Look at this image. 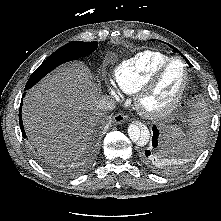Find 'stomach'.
I'll return each mask as SVG.
<instances>
[{"instance_id":"obj_1","label":"stomach","mask_w":221,"mask_h":221,"mask_svg":"<svg viewBox=\"0 0 221 221\" xmlns=\"http://www.w3.org/2000/svg\"><path fill=\"white\" fill-rule=\"evenodd\" d=\"M173 120V118H171L170 120H168V127L172 128L170 125H169V122H171Z\"/></svg>"}]
</instances>
